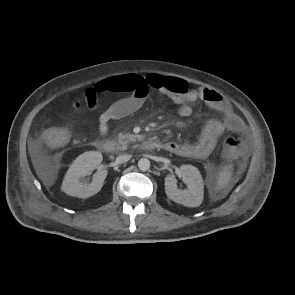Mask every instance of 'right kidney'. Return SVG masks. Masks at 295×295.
Returning a JSON list of instances; mask_svg holds the SVG:
<instances>
[{
	"instance_id": "right-kidney-1",
	"label": "right kidney",
	"mask_w": 295,
	"mask_h": 295,
	"mask_svg": "<svg viewBox=\"0 0 295 295\" xmlns=\"http://www.w3.org/2000/svg\"><path fill=\"white\" fill-rule=\"evenodd\" d=\"M102 159L101 153L97 151L85 152L78 156L67 171L61 189L66 194L78 198H88L97 194L103 186L108 174L107 170L96 172L91 183L81 182L80 179L95 169L102 162Z\"/></svg>"
}]
</instances>
